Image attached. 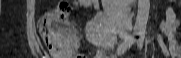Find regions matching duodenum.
I'll return each mask as SVG.
<instances>
[{
  "label": "duodenum",
  "mask_w": 181,
  "mask_h": 58,
  "mask_svg": "<svg viewBox=\"0 0 181 58\" xmlns=\"http://www.w3.org/2000/svg\"><path fill=\"white\" fill-rule=\"evenodd\" d=\"M104 7L114 13H122L135 4V0H102Z\"/></svg>",
  "instance_id": "obj_1"
}]
</instances>
